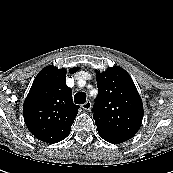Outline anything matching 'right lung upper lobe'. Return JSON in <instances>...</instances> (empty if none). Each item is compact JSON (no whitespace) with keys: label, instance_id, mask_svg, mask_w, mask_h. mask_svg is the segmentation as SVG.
<instances>
[{"label":"right lung upper lobe","instance_id":"cb5924a9","mask_svg":"<svg viewBox=\"0 0 173 173\" xmlns=\"http://www.w3.org/2000/svg\"><path fill=\"white\" fill-rule=\"evenodd\" d=\"M78 67L70 69L75 73ZM66 69L48 66L36 76L24 101L23 116L29 131L46 143L65 139L70 131L78 105L72 100V90L66 83Z\"/></svg>","mask_w":173,"mask_h":173}]
</instances>
